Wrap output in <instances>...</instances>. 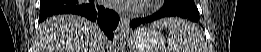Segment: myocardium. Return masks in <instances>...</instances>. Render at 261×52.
Segmentation results:
<instances>
[{
  "instance_id": "f54148a6",
  "label": "myocardium",
  "mask_w": 261,
  "mask_h": 52,
  "mask_svg": "<svg viewBox=\"0 0 261 52\" xmlns=\"http://www.w3.org/2000/svg\"><path fill=\"white\" fill-rule=\"evenodd\" d=\"M136 12H142L143 11V8L139 7L135 10Z\"/></svg>"
}]
</instances>
